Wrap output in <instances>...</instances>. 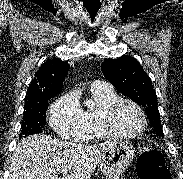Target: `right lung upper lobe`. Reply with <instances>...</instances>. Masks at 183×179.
Listing matches in <instances>:
<instances>
[{"mask_svg":"<svg viewBox=\"0 0 183 179\" xmlns=\"http://www.w3.org/2000/svg\"><path fill=\"white\" fill-rule=\"evenodd\" d=\"M68 70V62L59 58L44 62L28 87L25 105L57 95L62 90Z\"/></svg>","mask_w":183,"mask_h":179,"instance_id":"right-lung-upper-lobe-1","label":"right lung upper lobe"}]
</instances>
